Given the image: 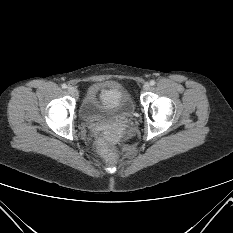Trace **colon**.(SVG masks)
<instances>
[{
    "label": "colon",
    "mask_w": 233,
    "mask_h": 233,
    "mask_svg": "<svg viewBox=\"0 0 233 233\" xmlns=\"http://www.w3.org/2000/svg\"><path fill=\"white\" fill-rule=\"evenodd\" d=\"M108 136L107 132H102L101 133V137L106 139ZM102 155L104 156V158L109 159L111 157V153L108 150H103L102 151Z\"/></svg>",
    "instance_id": "obj_1"
}]
</instances>
